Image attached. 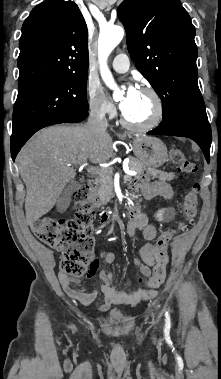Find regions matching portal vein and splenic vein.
Listing matches in <instances>:
<instances>
[{
    "label": "portal vein and splenic vein",
    "instance_id": "portal-vein-and-splenic-vein-1",
    "mask_svg": "<svg viewBox=\"0 0 221 379\" xmlns=\"http://www.w3.org/2000/svg\"><path fill=\"white\" fill-rule=\"evenodd\" d=\"M80 165H81V166H85L86 164H85V163H82V164H80ZM87 171H88L89 173H91V174L102 175V174L105 172V169L90 166V167L87 168ZM124 172H125V176H124V177H129V176L135 174L134 171H131V170H129V169H125Z\"/></svg>",
    "mask_w": 221,
    "mask_h": 379
}]
</instances>
